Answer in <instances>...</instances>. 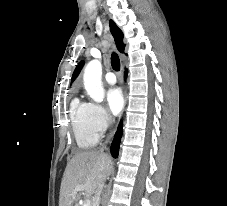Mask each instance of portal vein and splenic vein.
Segmentation results:
<instances>
[{
  "instance_id": "18ae733b",
  "label": "portal vein and splenic vein",
  "mask_w": 227,
  "mask_h": 206,
  "mask_svg": "<svg viewBox=\"0 0 227 206\" xmlns=\"http://www.w3.org/2000/svg\"><path fill=\"white\" fill-rule=\"evenodd\" d=\"M77 190H84V186H78ZM83 206H90V200H86L83 204Z\"/></svg>"
}]
</instances>
